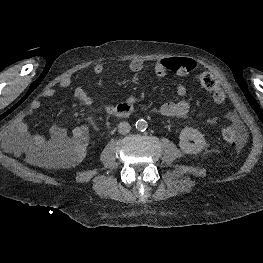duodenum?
<instances>
[{
  "mask_svg": "<svg viewBox=\"0 0 263 263\" xmlns=\"http://www.w3.org/2000/svg\"><path fill=\"white\" fill-rule=\"evenodd\" d=\"M134 112V107L131 104H120L112 112V116L117 119L127 118Z\"/></svg>",
  "mask_w": 263,
  "mask_h": 263,
  "instance_id": "duodenum-1",
  "label": "duodenum"
}]
</instances>
